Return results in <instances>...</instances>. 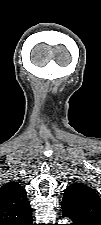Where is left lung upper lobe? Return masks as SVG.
Wrapping results in <instances>:
<instances>
[{
	"mask_svg": "<svg viewBox=\"0 0 101 225\" xmlns=\"http://www.w3.org/2000/svg\"><path fill=\"white\" fill-rule=\"evenodd\" d=\"M62 211L101 223V199L92 188L81 183L71 184L65 189Z\"/></svg>",
	"mask_w": 101,
	"mask_h": 225,
	"instance_id": "obj_1",
	"label": "left lung upper lobe"
}]
</instances>
